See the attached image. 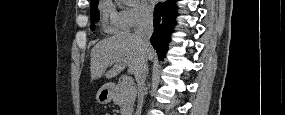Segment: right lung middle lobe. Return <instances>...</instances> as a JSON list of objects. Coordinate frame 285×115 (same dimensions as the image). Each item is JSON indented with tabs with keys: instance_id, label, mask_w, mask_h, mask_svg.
<instances>
[{
	"instance_id": "right-lung-middle-lobe-1",
	"label": "right lung middle lobe",
	"mask_w": 285,
	"mask_h": 115,
	"mask_svg": "<svg viewBox=\"0 0 285 115\" xmlns=\"http://www.w3.org/2000/svg\"><path fill=\"white\" fill-rule=\"evenodd\" d=\"M99 0L91 2L90 5V17H91V30L95 29V21L99 20V12L97 10Z\"/></svg>"
}]
</instances>
